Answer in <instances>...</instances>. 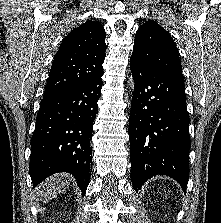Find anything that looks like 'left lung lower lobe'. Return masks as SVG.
<instances>
[{
  "mask_svg": "<svg viewBox=\"0 0 221 223\" xmlns=\"http://www.w3.org/2000/svg\"><path fill=\"white\" fill-rule=\"evenodd\" d=\"M135 80L129 139L136 191L151 177L167 175L186 190L189 178V116L184 79L130 59Z\"/></svg>",
  "mask_w": 221,
  "mask_h": 223,
  "instance_id": "obj_1",
  "label": "left lung lower lobe"
}]
</instances>
